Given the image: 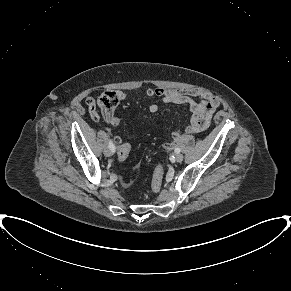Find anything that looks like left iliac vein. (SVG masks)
Listing matches in <instances>:
<instances>
[{"label":"left iliac vein","instance_id":"left-iliac-vein-1","mask_svg":"<svg viewBox=\"0 0 291 291\" xmlns=\"http://www.w3.org/2000/svg\"><path fill=\"white\" fill-rule=\"evenodd\" d=\"M183 155L182 154H180V153H177L176 155H175V161L176 162H182L183 161Z\"/></svg>","mask_w":291,"mask_h":291}]
</instances>
